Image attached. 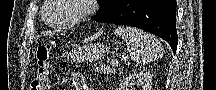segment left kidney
Wrapping results in <instances>:
<instances>
[{"label": "left kidney", "mask_w": 216, "mask_h": 90, "mask_svg": "<svg viewBox=\"0 0 216 90\" xmlns=\"http://www.w3.org/2000/svg\"><path fill=\"white\" fill-rule=\"evenodd\" d=\"M152 76L149 72L132 74L122 80L118 90H152Z\"/></svg>", "instance_id": "1"}]
</instances>
